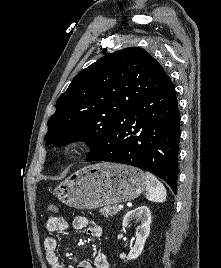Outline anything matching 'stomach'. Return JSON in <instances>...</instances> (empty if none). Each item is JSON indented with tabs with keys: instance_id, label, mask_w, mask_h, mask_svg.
<instances>
[{
	"instance_id": "stomach-1",
	"label": "stomach",
	"mask_w": 221,
	"mask_h": 268,
	"mask_svg": "<svg viewBox=\"0 0 221 268\" xmlns=\"http://www.w3.org/2000/svg\"><path fill=\"white\" fill-rule=\"evenodd\" d=\"M146 187L145 173L117 163L79 169L55 189L58 199L77 209H95L138 197Z\"/></svg>"
}]
</instances>
